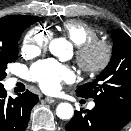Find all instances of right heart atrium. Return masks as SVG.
I'll list each match as a JSON object with an SVG mask.
<instances>
[{"label": "right heart atrium", "mask_w": 131, "mask_h": 131, "mask_svg": "<svg viewBox=\"0 0 131 131\" xmlns=\"http://www.w3.org/2000/svg\"><path fill=\"white\" fill-rule=\"evenodd\" d=\"M50 41V33L43 27L35 26L29 29L22 39L21 51L27 56H35L45 50Z\"/></svg>", "instance_id": "d8ad5b80"}]
</instances>
